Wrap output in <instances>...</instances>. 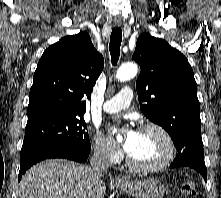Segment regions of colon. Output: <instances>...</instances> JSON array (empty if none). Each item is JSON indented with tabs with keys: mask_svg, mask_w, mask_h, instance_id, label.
Here are the masks:
<instances>
[{
	"mask_svg": "<svg viewBox=\"0 0 221 198\" xmlns=\"http://www.w3.org/2000/svg\"><path fill=\"white\" fill-rule=\"evenodd\" d=\"M181 193L184 198H193L196 195V187L193 181L188 180L182 184Z\"/></svg>",
	"mask_w": 221,
	"mask_h": 198,
	"instance_id": "1",
	"label": "colon"
}]
</instances>
